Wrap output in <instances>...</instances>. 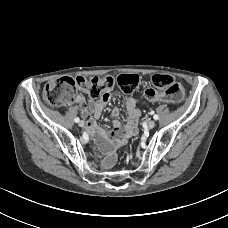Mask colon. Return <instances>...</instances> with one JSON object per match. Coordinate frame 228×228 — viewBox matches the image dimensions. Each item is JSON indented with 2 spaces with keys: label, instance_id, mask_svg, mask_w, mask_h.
Instances as JSON below:
<instances>
[{
  "label": "colon",
  "instance_id": "5ec220e1",
  "mask_svg": "<svg viewBox=\"0 0 228 228\" xmlns=\"http://www.w3.org/2000/svg\"><path fill=\"white\" fill-rule=\"evenodd\" d=\"M115 82L121 90L130 94L136 90L139 77L136 74H122L115 81L112 77H61L48 82L43 90V100L50 106L56 107L79 101V92L87 93L91 98L98 99L103 94L110 92ZM152 83L157 89H147L144 96L147 100L179 102L185 94L184 87L168 74H156L152 77Z\"/></svg>",
  "mask_w": 228,
  "mask_h": 228
}]
</instances>
